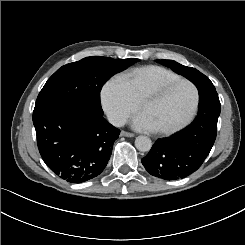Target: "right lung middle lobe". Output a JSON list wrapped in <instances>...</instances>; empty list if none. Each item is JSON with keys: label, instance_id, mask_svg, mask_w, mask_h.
I'll return each instance as SVG.
<instances>
[{"label": "right lung middle lobe", "instance_id": "dd1d6c3e", "mask_svg": "<svg viewBox=\"0 0 245 245\" xmlns=\"http://www.w3.org/2000/svg\"><path fill=\"white\" fill-rule=\"evenodd\" d=\"M139 59L86 57L59 68L39 93L35 108L51 103H71L94 115H103L100 91L115 73L125 70Z\"/></svg>", "mask_w": 245, "mask_h": 245}]
</instances>
